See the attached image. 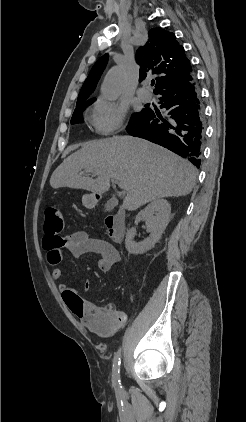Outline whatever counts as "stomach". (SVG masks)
Instances as JSON below:
<instances>
[{
	"label": "stomach",
	"mask_w": 246,
	"mask_h": 422,
	"mask_svg": "<svg viewBox=\"0 0 246 422\" xmlns=\"http://www.w3.org/2000/svg\"><path fill=\"white\" fill-rule=\"evenodd\" d=\"M82 202L86 207H92L94 205V196L93 195H84Z\"/></svg>",
	"instance_id": "stomach-1"
}]
</instances>
